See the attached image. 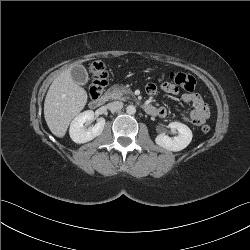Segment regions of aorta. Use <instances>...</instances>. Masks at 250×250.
Returning a JSON list of instances; mask_svg holds the SVG:
<instances>
[{"label":"aorta","mask_w":250,"mask_h":250,"mask_svg":"<svg viewBox=\"0 0 250 250\" xmlns=\"http://www.w3.org/2000/svg\"><path fill=\"white\" fill-rule=\"evenodd\" d=\"M126 112L127 114L129 115H133L136 113V108L134 105H128L127 108H126Z\"/></svg>","instance_id":"obj_1"}]
</instances>
